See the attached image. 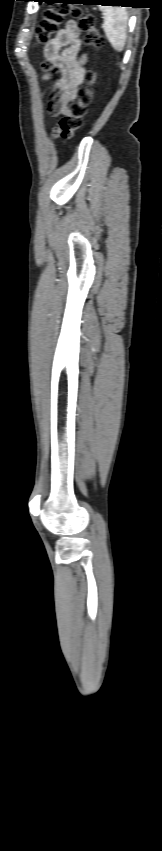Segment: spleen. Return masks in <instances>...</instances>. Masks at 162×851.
<instances>
[{
  "label": "spleen",
  "instance_id": "3e777b00",
  "mask_svg": "<svg viewBox=\"0 0 162 851\" xmlns=\"http://www.w3.org/2000/svg\"><path fill=\"white\" fill-rule=\"evenodd\" d=\"M104 17L103 29L112 47L121 52L126 42L128 14L122 7L99 8Z\"/></svg>",
  "mask_w": 162,
  "mask_h": 851
}]
</instances>
